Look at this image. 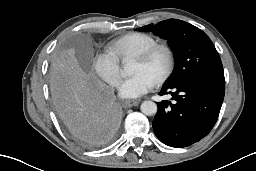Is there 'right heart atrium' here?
Returning a JSON list of instances; mask_svg holds the SVG:
<instances>
[{"instance_id":"right-heart-atrium-1","label":"right heart atrium","mask_w":256,"mask_h":171,"mask_svg":"<svg viewBox=\"0 0 256 171\" xmlns=\"http://www.w3.org/2000/svg\"><path fill=\"white\" fill-rule=\"evenodd\" d=\"M95 73L111 86H116L120 79L119 58L110 51L98 52L92 59Z\"/></svg>"}]
</instances>
